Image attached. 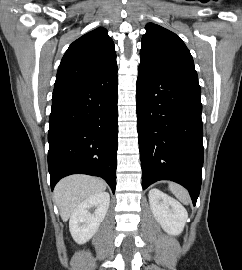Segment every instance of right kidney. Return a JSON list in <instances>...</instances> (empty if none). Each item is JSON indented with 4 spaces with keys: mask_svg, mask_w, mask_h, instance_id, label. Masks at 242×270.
Returning <instances> with one entry per match:
<instances>
[{
    "mask_svg": "<svg viewBox=\"0 0 242 270\" xmlns=\"http://www.w3.org/2000/svg\"><path fill=\"white\" fill-rule=\"evenodd\" d=\"M110 203L107 192L94 194L82 201L70 217V233L78 244L86 243L98 230L104 220ZM95 207L91 213L89 210Z\"/></svg>",
    "mask_w": 242,
    "mask_h": 270,
    "instance_id": "ca27d5eb",
    "label": "right kidney"
}]
</instances>
